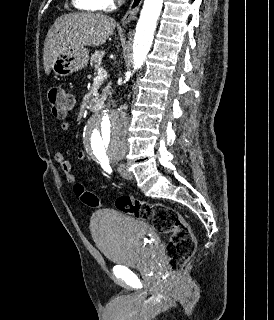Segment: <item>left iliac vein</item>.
<instances>
[{"instance_id": "left-iliac-vein-1", "label": "left iliac vein", "mask_w": 274, "mask_h": 320, "mask_svg": "<svg viewBox=\"0 0 274 320\" xmlns=\"http://www.w3.org/2000/svg\"><path fill=\"white\" fill-rule=\"evenodd\" d=\"M118 171L120 173V175L125 178V179H132L133 178V174L128 170L126 164L122 163L118 166Z\"/></svg>"}]
</instances>
